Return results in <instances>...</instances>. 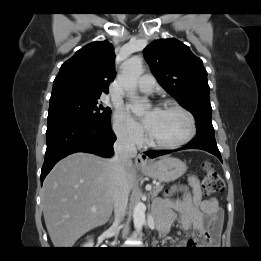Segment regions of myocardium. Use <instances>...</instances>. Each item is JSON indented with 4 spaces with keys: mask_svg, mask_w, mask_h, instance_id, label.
<instances>
[{
    "mask_svg": "<svg viewBox=\"0 0 261 261\" xmlns=\"http://www.w3.org/2000/svg\"><path fill=\"white\" fill-rule=\"evenodd\" d=\"M162 110H174L180 112L187 120L188 130L186 134L177 141L174 142H158L153 140L149 135L147 137V143L149 146L159 149H175L186 145L194 137L196 133V122L194 116L186 108L177 103H164Z\"/></svg>",
    "mask_w": 261,
    "mask_h": 261,
    "instance_id": "myocardium-1",
    "label": "myocardium"
}]
</instances>
